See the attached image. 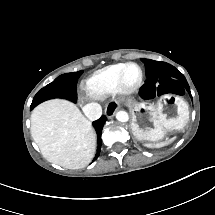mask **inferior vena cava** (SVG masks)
Returning a JSON list of instances; mask_svg holds the SVG:
<instances>
[{
	"instance_id": "inferior-vena-cava-1",
	"label": "inferior vena cava",
	"mask_w": 215,
	"mask_h": 215,
	"mask_svg": "<svg viewBox=\"0 0 215 215\" xmlns=\"http://www.w3.org/2000/svg\"><path fill=\"white\" fill-rule=\"evenodd\" d=\"M85 115L90 120H96L102 115V108L97 102H89L83 106Z\"/></svg>"
}]
</instances>
